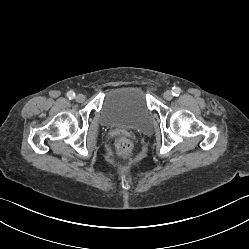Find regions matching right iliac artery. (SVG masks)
<instances>
[{
	"instance_id": "right-iliac-artery-1",
	"label": "right iliac artery",
	"mask_w": 249,
	"mask_h": 249,
	"mask_svg": "<svg viewBox=\"0 0 249 249\" xmlns=\"http://www.w3.org/2000/svg\"><path fill=\"white\" fill-rule=\"evenodd\" d=\"M67 97H68L69 99H73V98L75 97V93H74L73 91H69V92L67 93Z\"/></svg>"
}]
</instances>
